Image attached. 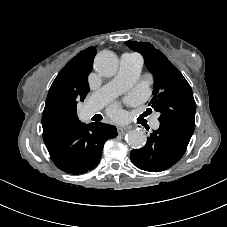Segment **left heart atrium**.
<instances>
[{"label":"left heart atrium","instance_id":"left-heart-atrium-1","mask_svg":"<svg viewBox=\"0 0 227 227\" xmlns=\"http://www.w3.org/2000/svg\"><path fill=\"white\" fill-rule=\"evenodd\" d=\"M111 114H113L114 116H119L121 114L120 109L117 106H113L110 109Z\"/></svg>","mask_w":227,"mask_h":227}]
</instances>
